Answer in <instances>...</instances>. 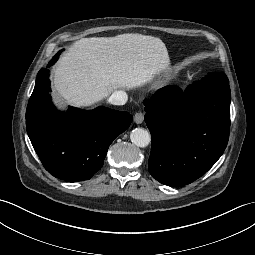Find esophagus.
I'll return each mask as SVG.
<instances>
[{"mask_svg":"<svg viewBox=\"0 0 255 255\" xmlns=\"http://www.w3.org/2000/svg\"><path fill=\"white\" fill-rule=\"evenodd\" d=\"M144 120V114L142 112H137L134 116V121L136 124H141Z\"/></svg>","mask_w":255,"mask_h":255,"instance_id":"1","label":"esophagus"}]
</instances>
